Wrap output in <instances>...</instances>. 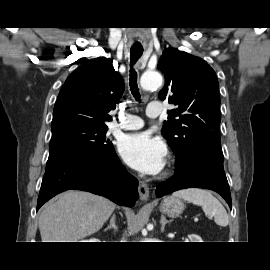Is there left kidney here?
<instances>
[{
    "instance_id": "5707ae66",
    "label": "left kidney",
    "mask_w": 270,
    "mask_h": 270,
    "mask_svg": "<svg viewBox=\"0 0 270 270\" xmlns=\"http://www.w3.org/2000/svg\"><path fill=\"white\" fill-rule=\"evenodd\" d=\"M190 239L194 240V242H202L201 237H199L198 235H191Z\"/></svg>"
}]
</instances>
